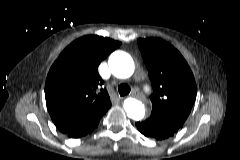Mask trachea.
I'll return each instance as SVG.
<instances>
[{
  "mask_svg": "<svg viewBox=\"0 0 240 160\" xmlns=\"http://www.w3.org/2000/svg\"><path fill=\"white\" fill-rule=\"evenodd\" d=\"M131 91V88L128 84L122 83L118 86V93L120 96L128 95Z\"/></svg>",
  "mask_w": 240,
  "mask_h": 160,
  "instance_id": "1",
  "label": "trachea"
}]
</instances>
